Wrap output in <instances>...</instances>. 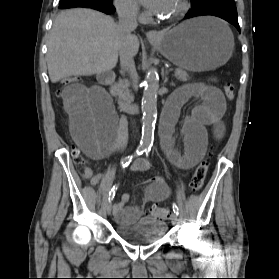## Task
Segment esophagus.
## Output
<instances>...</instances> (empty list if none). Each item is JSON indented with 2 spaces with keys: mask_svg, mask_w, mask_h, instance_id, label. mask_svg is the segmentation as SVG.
<instances>
[{
  "mask_svg": "<svg viewBox=\"0 0 279 279\" xmlns=\"http://www.w3.org/2000/svg\"><path fill=\"white\" fill-rule=\"evenodd\" d=\"M146 36L148 40H156L160 38V33L156 30H150L146 33Z\"/></svg>",
  "mask_w": 279,
  "mask_h": 279,
  "instance_id": "34e87169",
  "label": "esophagus"
}]
</instances>
